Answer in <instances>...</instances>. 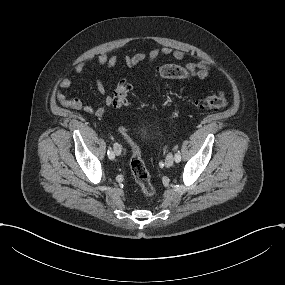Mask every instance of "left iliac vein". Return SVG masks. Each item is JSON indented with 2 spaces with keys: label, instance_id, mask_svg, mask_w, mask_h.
<instances>
[{
  "label": "left iliac vein",
  "instance_id": "4c4485c4",
  "mask_svg": "<svg viewBox=\"0 0 285 285\" xmlns=\"http://www.w3.org/2000/svg\"><path fill=\"white\" fill-rule=\"evenodd\" d=\"M173 162H174V158H173V155L171 153H169L166 157V160H165V165L167 167H170L173 165Z\"/></svg>",
  "mask_w": 285,
  "mask_h": 285
}]
</instances>
